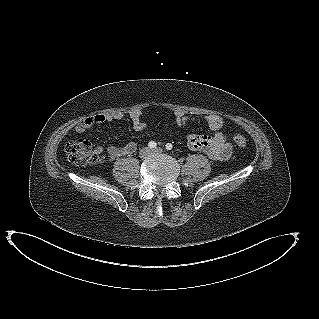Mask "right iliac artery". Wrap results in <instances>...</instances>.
<instances>
[{"mask_svg": "<svg viewBox=\"0 0 319 319\" xmlns=\"http://www.w3.org/2000/svg\"><path fill=\"white\" fill-rule=\"evenodd\" d=\"M148 146H149V148L154 149V148H156L157 144L154 141H150L148 143Z\"/></svg>", "mask_w": 319, "mask_h": 319, "instance_id": "82829eb1", "label": "right iliac artery"}]
</instances>
